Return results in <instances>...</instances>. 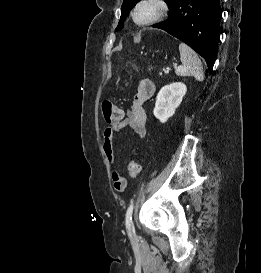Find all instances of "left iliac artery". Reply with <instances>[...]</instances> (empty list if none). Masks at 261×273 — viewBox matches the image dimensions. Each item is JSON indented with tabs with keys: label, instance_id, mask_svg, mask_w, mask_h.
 <instances>
[{
	"label": "left iliac artery",
	"instance_id": "obj_1",
	"mask_svg": "<svg viewBox=\"0 0 261 273\" xmlns=\"http://www.w3.org/2000/svg\"><path fill=\"white\" fill-rule=\"evenodd\" d=\"M133 207L134 204L131 203L126 212V228L129 232L131 230Z\"/></svg>",
	"mask_w": 261,
	"mask_h": 273
}]
</instances>
